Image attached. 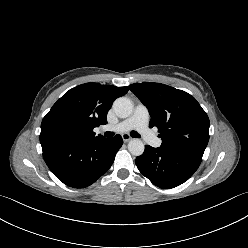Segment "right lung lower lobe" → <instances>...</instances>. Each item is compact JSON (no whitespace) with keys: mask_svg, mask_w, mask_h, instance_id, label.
<instances>
[{"mask_svg":"<svg viewBox=\"0 0 248 248\" xmlns=\"http://www.w3.org/2000/svg\"><path fill=\"white\" fill-rule=\"evenodd\" d=\"M123 140L120 135L79 142L42 145L43 158L64 184L84 188L93 184L112 165Z\"/></svg>","mask_w":248,"mask_h":248,"instance_id":"right-lung-lower-lobe-1","label":"right lung lower lobe"}]
</instances>
